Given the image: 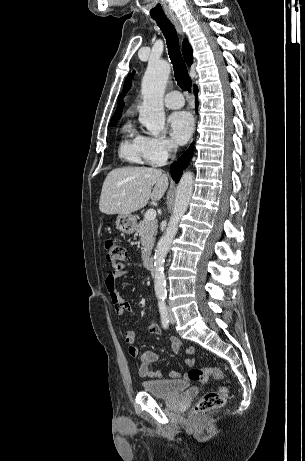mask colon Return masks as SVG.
Segmentation results:
<instances>
[{"mask_svg":"<svg viewBox=\"0 0 305 461\" xmlns=\"http://www.w3.org/2000/svg\"><path fill=\"white\" fill-rule=\"evenodd\" d=\"M105 251L107 261L114 267L120 268L126 261V250L117 241L107 240L105 242ZM187 377L192 382H205L209 378H214L216 380L226 379L224 371L217 367L192 368L189 370ZM227 394L228 389L226 386L207 391L195 403L192 410L193 414L221 408L226 401Z\"/></svg>","mask_w":305,"mask_h":461,"instance_id":"obj_1","label":"colon"}]
</instances>
